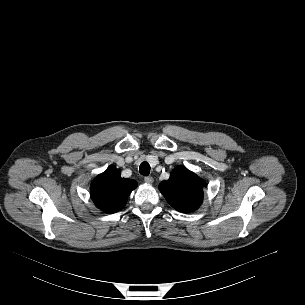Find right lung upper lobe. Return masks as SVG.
I'll list each match as a JSON object with an SVG mask.
<instances>
[{"label":"right lung upper lobe","mask_w":305,"mask_h":305,"mask_svg":"<svg viewBox=\"0 0 305 305\" xmlns=\"http://www.w3.org/2000/svg\"><path fill=\"white\" fill-rule=\"evenodd\" d=\"M120 174L119 169L110 166L91 183V198L105 213L121 210L130 193L137 187L135 180L121 178Z\"/></svg>","instance_id":"1"}]
</instances>
